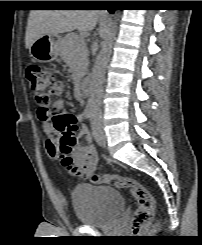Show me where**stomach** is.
Instances as JSON below:
<instances>
[{
	"label": "stomach",
	"instance_id": "1",
	"mask_svg": "<svg viewBox=\"0 0 202 245\" xmlns=\"http://www.w3.org/2000/svg\"><path fill=\"white\" fill-rule=\"evenodd\" d=\"M62 40L58 34L43 35L33 42L29 52L38 62H51L59 55Z\"/></svg>",
	"mask_w": 202,
	"mask_h": 245
}]
</instances>
